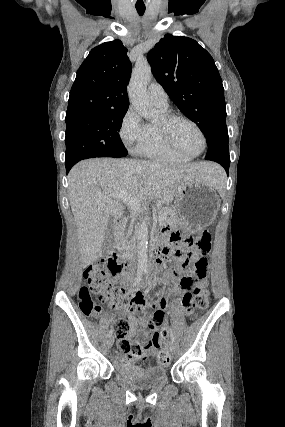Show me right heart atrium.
<instances>
[{
	"label": "right heart atrium",
	"mask_w": 285,
	"mask_h": 427,
	"mask_svg": "<svg viewBox=\"0 0 285 427\" xmlns=\"http://www.w3.org/2000/svg\"><path fill=\"white\" fill-rule=\"evenodd\" d=\"M145 135L146 125L142 123L138 112L133 107H129L120 128L123 143L130 152L138 154L145 140Z\"/></svg>",
	"instance_id": "right-heart-atrium-1"
}]
</instances>
